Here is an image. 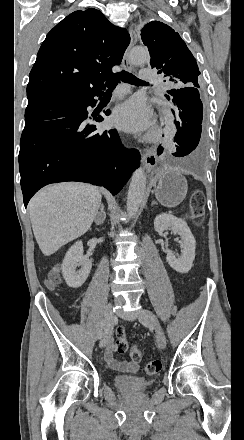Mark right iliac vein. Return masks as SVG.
Wrapping results in <instances>:
<instances>
[{"instance_id": "right-iliac-vein-1", "label": "right iliac vein", "mask_w": 244, "mask_h": 440, "mask_svg": "<svg viewBox=\"0 0 244 440\" xmlns=\"http://www.w3.org/2000/svg\"><path fill=\"white\" fill-rule=\"evenodd\" d=\"M104 318L106 320V326L104 329L103 338L100 341V347H105L112 337V331L114 326V313L111 303H108L104 310Z\"/></svg>"}]
</instances>
